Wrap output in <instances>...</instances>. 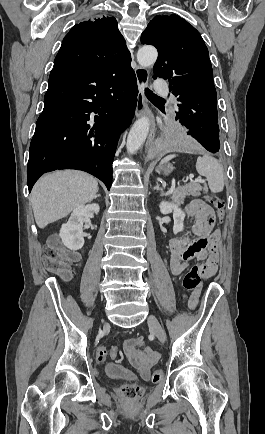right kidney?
I'll list each match as a JSON object with an SVG mask.
<instances>
[{
	"instance_id": "right-kidney-1",
	"label": "right kidney",
	"mask_w": 265,
	"mask_h": 434,
	"mask_svg": "<svg viewBox=\"0 0 265 434\" xmlns=\"http://www.w3.org/2000/svg\"><path fill=\"white\" fill-rule=\"evenodd\" d=\"M99 204H87V206H77L73 210L67 224H62L60 238L69 250H81L84 246L83 224L88 218H94L98 214Z\"/></svg>"
}]
</instances>
